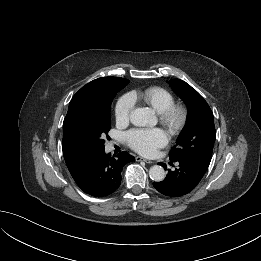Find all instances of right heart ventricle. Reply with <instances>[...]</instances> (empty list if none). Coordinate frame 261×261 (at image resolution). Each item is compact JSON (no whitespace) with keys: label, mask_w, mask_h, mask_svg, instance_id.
Segmentation results:
<instances>
[{"label":"right heart ventricle","mask_w":261,"mask_h":261,"mask_svg":"<svg viewBox=\"0 0 261 261\" xmlns=\"http://www.w3.org/2000/svg\"><path fill=\"white\" fill-rule=\"evenodd\" d=\"M129 96L133 101H141L150 106L157 113H161L174 103L172 93L161 87H149L142 91H133Z\"/></svg>","instance_id":"right-heart-ventricle-1"}]
</instances>
